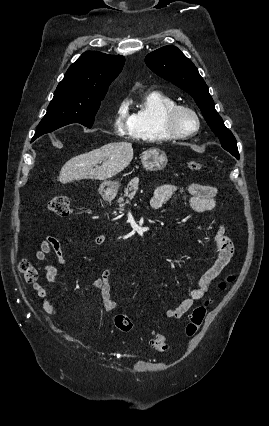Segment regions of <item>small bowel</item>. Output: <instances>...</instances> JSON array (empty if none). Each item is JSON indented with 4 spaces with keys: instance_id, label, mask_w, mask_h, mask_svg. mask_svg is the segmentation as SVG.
I'll list each match as a JSON object with an SVG mask.
<instances>
[{
    "instance_id": "obj_1",
    "label": "small bowel",
    "mask_w": 269,
    "mask_h": 426,
    "mask_svg": "<svg viewBox=\"0 0 269 426\" xmlns=\"http://www.w3.org/2000/svg\"><path fill=\"white\" fill-rule=\"evenodd\" d=\"M183 191L189 194V206L195 212H208L215 209L218 205L216 201L218 194L217 188L192 183L185 188H179L170 184L157 187L151 199V207L153 209H160L167 201L176 199ZM106 240L107 238L105 235H97L93 238V244L97 246L102 245ZM73 243L74 240H68L65 244H62L58 238L51 235L46 236L35 254L36 260L45 262L48 257L53 254L57 258L58 263L64 265L67 263L64 246ZM213 243L217 248L218 254L212 265L201 275L197 281L196 287L190 291L188 297L183 299L176 307L169 308L165 311L164 316L166 318L178 319L183 317L196 301L202 299L206 295L213 282L221 275L231 261L234 255V245L232 241L224 235L223 226L220 225L217 227L213 236ZM44 270L46 280L51 285H54L57 279L56 267L53 265H46ZM111 275V269H105L93 282V286L98 291L107 311H112L118 306V303L111 297ZM32 288L36 295L42 300L44 311L47 314L55 315L57 313V308L49 300L48 292L42 284L35 282L32 284Z\"/></svg>"
}]
</instances>
